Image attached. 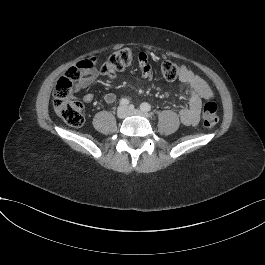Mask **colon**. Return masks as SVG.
Here are the masks:
<instances>
[{"instance_id":"5ec220e1","label":"colon","mask_w":265,"mask_h":265,"mask_svg":"<svg viewBox=\"0 0 265 265\" xmlns=\"http://www.w3.org/2000/svg\"><path fill=\"white\" fill-rule=\"evenodd\" d=\"M134 59L132 50L123 48L112 53L101 67V72L107 76H114L117 72L129 67ZM95 58L79 61L70 67L59 78L54 92V109L59 117L72 127H80L85 121L83 104L74 97L73 87L82 76L93 69ZM181 68L170 61L163 62L160 72L164 79L175 80ZM202 121L204 126L211 128L218 122L217 104L212 99H207L203 106Z\"/></svg>"}]
</instances>
